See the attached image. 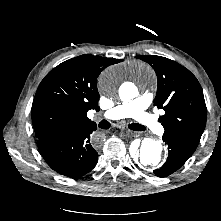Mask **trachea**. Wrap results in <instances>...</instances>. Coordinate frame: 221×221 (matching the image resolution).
I'll list each match as a JSON object with an SVG mask.
<instances>
[{
  "instance_id": "trachea-1",
  "label": "trachea",
  "mask_w": 221,
  "mask_h": 221,
  "mask_svg": "<svg viewBox=\"0 0 221 221\" xmlns=\"http://www.w3.org/2000/svg\"><path fill=\"white\" fill-rule=\"evenodd\" d=\"M99 127L102 129H109L110 123L106 120H101L99 123ZM128 127L134 131H144L146 129L143 125L138 123L129 124Z\"/></svg>"
}]
</instances>
